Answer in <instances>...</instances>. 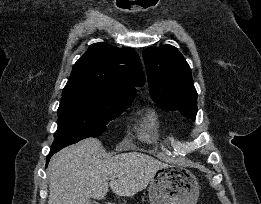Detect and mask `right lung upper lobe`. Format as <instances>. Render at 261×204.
Masks as SVG:
<instances>
[{"label":"right lung upper lobe","instance_id":"cb5924a9","mask_svg":"<svg viewBox=\"0 0 261 204\" xmlns=\"http://www.w3.org/2000/svg\"><path fill=\"white\" fill-rule=\"evenodd\" d=\"M144 82L140 58L132 48L95 43L74 64L62 96L90 94L106 103H132L134 86Z\"/></svg>","mask_w":261,"mask_h":204}]
</instances>
